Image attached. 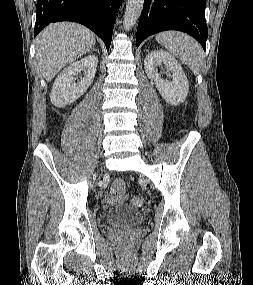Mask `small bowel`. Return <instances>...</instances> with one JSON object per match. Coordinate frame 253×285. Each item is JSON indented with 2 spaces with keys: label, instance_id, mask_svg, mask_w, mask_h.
Instances as JSON below:
<instances>
[{
  "label": "small bowel",
  "instance_id": "obj_1",
  "mask_svg": "<svg viewBox=\"0 0 253 285\" xmlns=\"http://www.w3.org/2000/svg\"><path fill=\"white\" fill-rule=\"evenodd\" d=\"M128 193L122 179L118 178L114 181L108 195V204L115 206L126 202Z\"/></svg>",
  "mask_w": 253,
  "mask_h": 285
}]
</instances>
